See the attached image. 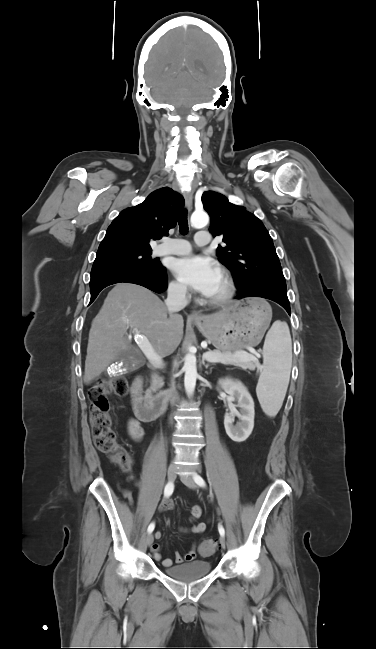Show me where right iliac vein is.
<instances>
[{"instance_id": "63e3f726", "label": "right iliac vein", "mask_w": 376, "mask_h": 649, "mask_svg": "<svg viewBox=\"0 0 376 649\" xmlns=\"http://www.w3.org/2000/svg\"><path fill=\"white\" fill-rule=\"evenodd\" d=\"M167 476H168L169 481H173L175 479V476H176V467H175V465L171 464L169 466ZM153 541H154V537H153V535L151 533H149L147 535V537H146V544L148 546H150L153 543Z\"/></svg>"}]
</instances>
